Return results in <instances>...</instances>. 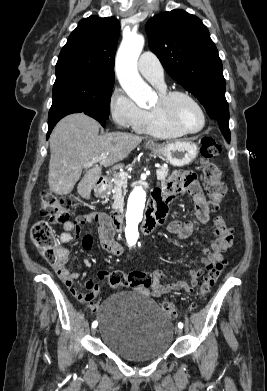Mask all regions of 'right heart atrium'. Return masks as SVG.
Listing matches in <instances>:
<instances>
[{
  "label": "right heart atrium",
  "mask_w": 267,
  "mask_h": 391,
  "mask_svg": "<svg viewBox=\"0 0 267 391\" xmlns=\"http://www.w3.org/2000/svg\"><path fill=\"white\" fill-rule=\"evenodd\" d=\"M109 114L119 128L135 129L143 119L144 110L123 91L116 88L110 98Z\"/></svg>",
  "instance_id": "obj_1"
}]
</instances>
